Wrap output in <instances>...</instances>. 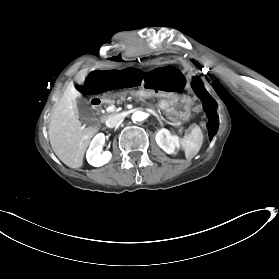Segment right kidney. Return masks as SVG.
I'll list each match as a JSON object with an SVG mask.
<instances>
[{"label": "right kidney", "mask_w": 279, "mask_h": 279, "mask_svg": "<svg viewBox=\"0 0 279 279\" xmlns=\"http://www.w3.org/2000/svg\"><path fill=\"white\" fill-rule=\"evenodd\" d=\"M105 143V135L98 133L90 143L86 158L89 164L94 167H100L108 163L112 157L111 152L103 151L102 146Z\"/></svg>", "instance_id": "1"}]
</instances>
